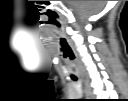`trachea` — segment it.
<instances>
[{
  "instance_id": "trachea-1",
  "label": "trachea",
  "mask_w": 128,
  "mask_h": 101,
  "mask_svg": "<svg viewBox=\"0 0 128 101\" xmlns=\"http://www.w3.org/2000/svg\"><path fill=\"white\" fill-rule=\"evenodd\" d=\"M70 77H71L72 80L77 81V77L74 74L71 73Z\"/></svg>"
}]
</instances>
